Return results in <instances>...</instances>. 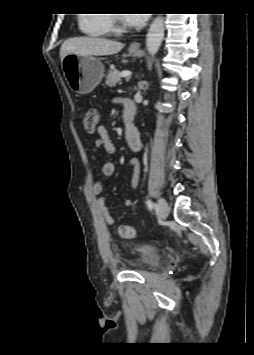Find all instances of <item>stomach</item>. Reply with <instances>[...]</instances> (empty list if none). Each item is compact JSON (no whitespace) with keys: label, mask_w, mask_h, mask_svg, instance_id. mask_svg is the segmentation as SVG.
Masks as SVG:
<instances>
[{"label":"stomach","mask_w":254,"mask_h":355,"mask_svg":"<svg viewBox=\"0 0 254 355\" xmlns=\"http://www.w3.org/2000/svg\"><path fill=\"white\" fill-rule=\"evenodd\" d=\"M129 53L137 56L139 51L130 48ZM62 68L71 89L79 94L90 93L104 75L103 64L91 55L68 54L62 60Z\"/></svg>","instance_id":"0dacf381"}]
</instances>
